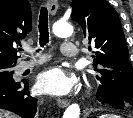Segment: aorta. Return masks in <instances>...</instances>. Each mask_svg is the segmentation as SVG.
<instances>
[{"mask_svg": "<svg viewBox=\"0 0 133 118\" xmlns=\"http://www.w3.org/2000/svg\"><path fill=\"white\" fill-rule=\"evenodd\" d=\"M53 33L62 38L70 37L73 27L67 22H56L52 28ZM80 107L78 104H71L64 112L63 118H79Z\"/></svg>", "mask_w": 133, "mask_h": 118, "instance_id": "obj_1", "label": "aorta"}]
</instances>
